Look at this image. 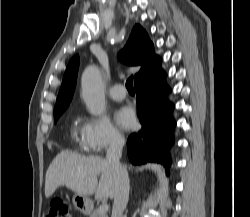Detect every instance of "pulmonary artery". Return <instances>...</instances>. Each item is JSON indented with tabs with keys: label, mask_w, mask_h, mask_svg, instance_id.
<instances>
[{
	"label": "pulmonary artery",
	"mask_w": 250,
	"mask_h": 217,
	"mask_svg": "<svg viewBox=\"0 0 250 217\" xmlns=\"http://www.w3.org/2000/svg\"><path fill=\"white\" fill-rule=\"evenodd\" d=\"M109 96L116 101H121L126 97V90L122 84H116L109 90Z\"/></svg>",
	"instance_id": "e3ab8cb5"
}]
</instances>
